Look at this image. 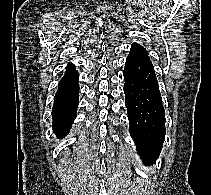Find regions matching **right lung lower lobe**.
<instances>
[{
    "instance_id": "1",
    "label": "right lung lower lobe",
    "mask_w": 211,
    "mask_h": 195,
    "mask_svg": "<svg viewBox=\"0 0 211 195\" xmlns=\"http://www.w3.org/2000/svg\"><path fill=\"white\" fill-rule=\"evenodd\" d=\"M78 79V72L75 68H70L66 70L59 82L52 109L53 130L59 138L67 135L76 117L79 96Z\"/></svg>"
}]
</instances>
